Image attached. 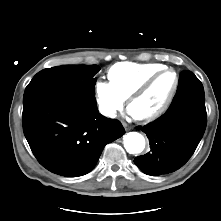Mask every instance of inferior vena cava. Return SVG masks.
<instances>
[{"label":"inferior vena cava","instance_id":"obj_1","mask_svg":"<svg viewBox=\"0 0 221 221\" xmlns=\"http://www.w3.org/2000/svg\"><path fill=\"white\" fill-rule=\"evenodd\" d=\"M104 114L106 116H109V117H115L116 116V111L115 110H112V109H107L104 111Z\"/></svg>","mask_w":221,"mask_h":221}]
</instances>
